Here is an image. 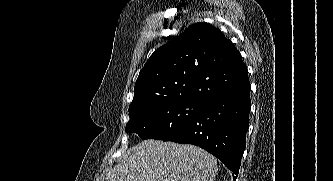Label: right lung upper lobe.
Returning <instances> with one entry per match:
<instances>
[{
	"instance_id": "1",
	"label": "right lung upper lobe",
	"mask_w": 333,
	"mask_h": 181,
	"mask_svg": "<svg viewBox=\"0 0 333 181\" xmlns=\"http://www.w3.org/2000/svg\"><path fill=\"white\" fill-rule=\"evenodd\" d=\"M247 84L240 52L219 29L199 22L150 56L135 83L129 113L165 101L203 103Z\"/></svg>"
}]
</instances>
